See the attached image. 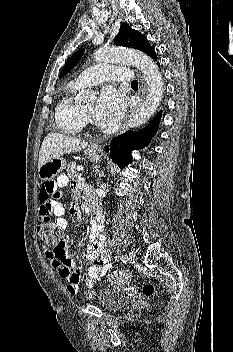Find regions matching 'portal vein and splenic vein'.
Returning <instances> with one entry per match:
<instances>
[{
    "instance_id": "portal-vein-and-splenic-vein-1",
    "label": "portal vein and splenic vein",
    "mask_w": 233,
    "mask_h": 352,
    "mask_svg": "<svg viewBox=\"0 0 233 352\" xmlns=\"http://www.w3.org/2000/svg\"><path fill=\"white\" fill-rule=\"evenodd\" d=\"M82 168H78V171H80Z\"/></svg>"
}]
</instances>
